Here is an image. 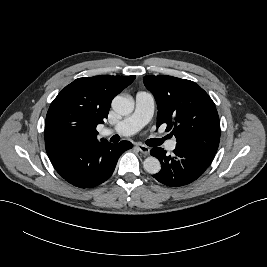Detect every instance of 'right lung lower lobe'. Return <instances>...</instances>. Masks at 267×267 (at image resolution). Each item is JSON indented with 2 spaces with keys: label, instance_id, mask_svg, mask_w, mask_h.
<instances>
[{
  "label": "right lung lower lobe",
  "instance_id": "right-lung-lower-lobe-1",
  "mask_svg": "<svg viewBox=\"0 0 267 267\" xmlns=\"http://www.w3.org/2000/svg\"><path fill=\"white\" fill-rule=\"evenodd\" d=\"M130 148L132 143L128 141L112 144L101 140L46 146V151L62 178L76 187L92 188L110 178L120 155Z\"/></svg>",
  "mask_w": 267,
  "mask_h": 267
}]
</instances>
